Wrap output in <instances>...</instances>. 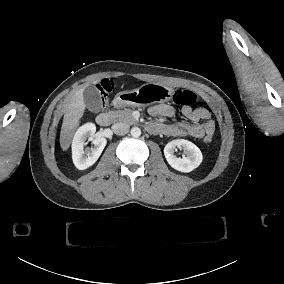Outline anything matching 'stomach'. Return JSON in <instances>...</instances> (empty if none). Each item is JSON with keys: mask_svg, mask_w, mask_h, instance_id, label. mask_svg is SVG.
Returning <instances> with one entry per match:
<instances>
[{"mask_svg": "<svg viewBox=\"0 0 284 284\" xmlns=\"http://www.w3.org/2000/svg\"><path fill=\"white\" fill-rule=\"evenodd\" d=\"M174 89L161 83H147L141 87L116 94L112 104L116 107H142L172 100Z\"/></svg>", "mask_w": 284, "mask_h": 284, "instance_id": "stomach-1", "label": "stomach"}]
</instances>
